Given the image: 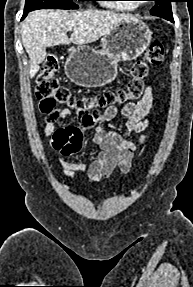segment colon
<instances>
[{"label":"colon","instance_id":"colon-1","mask_svg":"<svg viewBox=\"0 0 193 287\" xmlns=\"http://www.w3.org/2000/svg\"><path fill=\"white\" fill-rule=\"evenodd\" d=\"M163 58V45L158 42L152 43L143 57L131 66V77L126 87L78 98L60 83L58 57L50 53L36 80V95L40 101V109L44 113H51L57 105L65 106L76 112L80 127L91 128L100 120L102 110L139 99L144 93V80L150 66L160 65ZM53 119V116L49 118L47 124Z\"/></svg>","mask_w":193,"mask_h":287}]
</instances>
